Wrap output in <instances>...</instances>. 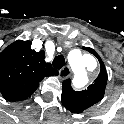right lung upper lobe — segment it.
Wrapping results in <instances>:
<instances>
[{
	"label": "right lung upper lobe",
	"instance_id": "obj_1",
	"mask_svg": "<svg viewBox=\"0 0 124 124\" xmlns=\"http://www.w3.org/2000/svg\"><path fill=\"white\" fill-rule=\"evenodd\" d=\"M44 51L31 49L30 41L17 40L0 53V93L8 101H21L33 94L39 82L58 75L44 61Z\"/></svg>",
	"mask_w": 124,
	"mask_h": 124
}]
</instances>
